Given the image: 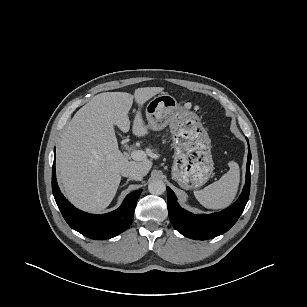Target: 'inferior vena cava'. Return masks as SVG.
Here are the masks:
<instances>
[{"label": "inferior vena cava", "mask_w": 307, "mask_h": 307, "mask_svg": "<svg viewBox=\"0 0 307 307\" xmlns=\"http://www.w3.org/2000/svg\"><path fill=\"white\" fill-rule=\"evenodd\" d=\"M121 175L124 177H129L133 180L140 181L143 179V174L140 170L133 168V167H127L121 171Z\"/></svg>", "instance_id": "1"}]
</instances>
